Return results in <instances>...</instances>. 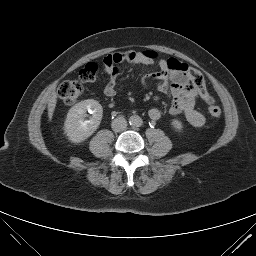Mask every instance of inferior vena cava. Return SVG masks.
<instances>
[{"label":"inferior vena cava","mask_w":256,"mask_h":256,"mask_svg":"<svg viewBox=\"0 0 256 256\" xmlns=\"http://www.w3.org/2000/svg\"><path fill=\"white\" fill-rule=\"evenodd\" d=\"M111 127L114 132L124 131L127 127V121L123 117H117L112 121Z\"/></svg>","instance_id":"inferior-vena-cava-1"}]
</instances>
